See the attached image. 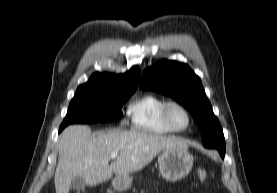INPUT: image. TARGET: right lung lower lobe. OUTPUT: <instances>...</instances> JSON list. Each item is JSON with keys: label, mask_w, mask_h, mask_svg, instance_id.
<instances>
[{"label": "right lung lower lobe", "mask_w": 277, "mask_h": 193, "mask_svg": "<svg viewBox=\"0 0 277 193\" xmlns=\"http://www.w3.org/2000/svg\"><path fill=\"white\" fill-rule=\"evenodd\" d=\"M63 128H64V127L60 126L59 132H61Z\"/></svg>", "instance_id": "right-lung-lower-lobe-1"}]
</instances>
